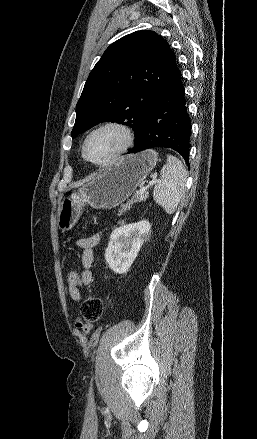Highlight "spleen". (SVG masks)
Instances as JSON below:
<instances>
[{
    "label": "spleen",
    "instance_id": "3e777b00",
    "mask_svg": "<svg viewBox=\"0 0 257 439\" xmlns=\"http://www.w3.org/2000/svg\"><path fill=\"white\" fill-rule=\"evenodd\" d=\"M160 181L153 190V199L167 214H173L185 191L187 173L182 162L167 155V163L160 173Z\"/></svg>",
    "mask_w": 257,
    "mask_h": 439
}]
</instances>
